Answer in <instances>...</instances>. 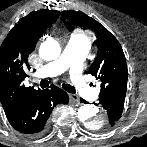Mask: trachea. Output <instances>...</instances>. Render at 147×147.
<instances>
[{
    "label": "trachea",
    "instance_id": "3493384b",
    "mask_svg": "<svg viewBox=\"0 0 147 147\" xmlns=\"http://www.w3.org/2000/svg\"><path fill=\"white\" fill-rule=\"evenodd\" d=\"M49 81L48 80H41V82H40V87L41 88H46V87H48L49 86ZM62 88L64 89V90H66L67 92H69V93H75L76 91H75V88L73 87V86H71V85H69V84H62Z\"/></svg>",
    "mask_w": 147,
    "mask_h": 147
}]
</instances>
